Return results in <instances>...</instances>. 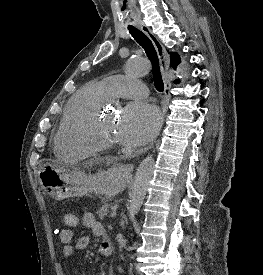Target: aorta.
Returning <instances> with one entry per match:
<instances>
[{"label": "aorta", "mask_w": 263, "mask_h": 275, "mask_svg": "<svg viewBox=\"0 0 263 275\" xmlns=\"http://www.w3.org/2000/svg\"><path fill=\"white\" fill-rule=\"evenodd\" d=\"M126 72L131 76H141L149 72L150 66L143 58H130L125 65ZM155 160L152 155L147 156L137 168L132 191L130 194V215L133 217L139 212L150 180L153 176Z\"/></svg>", "instance_id": "1"}]
</instances>
